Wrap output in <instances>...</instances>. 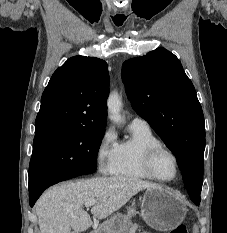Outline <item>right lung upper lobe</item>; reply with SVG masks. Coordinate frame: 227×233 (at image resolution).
Returning <instances> with one entry per match:
<instances>
[{
  "mask_svg": "<svg viewBox=\"0 0 227 233\" xmlns=\"http://www.w3.org/2000/svg\"><path fill=\"white\" fill-rule=\"evenodd\" d=\"M108 93L104 60L69 58L55 71L42 94L35 133L59 127L105 128Z\"/></svg>",
  "mask_w": 227,
  "mask_h": 233,
  "instance_id": "cb5924a9",
  "label": "right lung upper lobe"
}]
</instances>
